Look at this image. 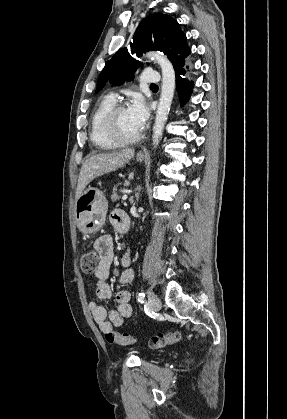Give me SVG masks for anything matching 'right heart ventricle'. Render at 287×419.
Masks as SVG:
<instances>
[{
	"mask_svg": "<svg viewBox=\"0 0 287 419\" xmlns=\"http://www.w3.org/2000/svg\"><path fill=\"white\" fill-rule=\"evenodd\" d=\"M116 104L115 98L107 95L101 99L92 113L89 126V137L92 144L102 150H111L119 146L105 132L104 119L108 111Z\"/></svg>",
	"mask_w": 287,
	"mask_h": 419,
	"instance_id": "obj_1",
	"label": "right heart ventricle"
}]
</instances>
